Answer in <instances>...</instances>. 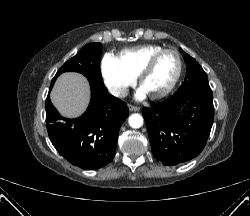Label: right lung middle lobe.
Here are the masks:
<instances>
[{
	"mask_svg": "<svg viewBox=\"0 0 250 216\" xmlns=\"http://www.w3.org/2000/svg\"><path fill=\"white\" fill-rule=\"evenodd\" d=\"M101 49L102 45L100 43L85 45L74 57L65 62V64L58 70L52 83H54L58 75L63 72L73 71L83 74L90 83L104 85L100 72Z\"/></svg>",
	"mask_w": 250,
	"mask_h": 216,
	"instance_id": "dd1d6c3e",
	"label": "right lung middle lobe"
}]
</instances>
